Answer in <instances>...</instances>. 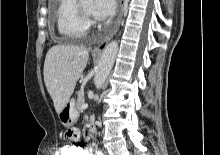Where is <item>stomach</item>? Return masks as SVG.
I'll list each match as a JSON object with an SVG mask.
<instances>
[{
  "mask_svg": "<svg viewBox=\"0 0 220 155\" xmlns=\"http://www.w3.org/2000/svg\"><path fill=\"white\" fill-rule=\"evenodd\" d=\"M79 116V113L74 105V100H70L59 112L58 117L60 122L64 126H70L74 124Z\"/></svg>",
  "mask_w": 220,
  "mask_h": 155,
  "instance_id": "stomach-1",
  "label": "stomach"
}]
</instances>
